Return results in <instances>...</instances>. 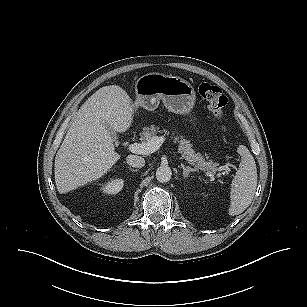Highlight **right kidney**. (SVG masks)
I'll use <instances>...</instances> for the list:
<instances>
[{
  "instance_id": "obj_1",
  "label": "right kidney",
  "mask_w": 307,
  "mask_h": 307,
  "mask_svg": "<svg viewBox=\"0 0 307 307\" xmlns=\"http://www.w3.org/2000/svg\"><path fill=\"white\" fill-rule=\"evenodd\" d=\"M123 185H124V180L121 178H117L104 184L101 190L104 194L107 195L117 194L122 190Z\"/></svg>"
}]
</instances>
